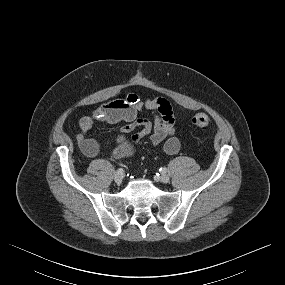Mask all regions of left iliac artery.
Instances as JSON below:
<instances>
[{
    "label": "left iliac artery",
    "instance_id": "1",
    "mask_svg": "<svg viewBox=\"0 0 285 285\" xmlns=\"http://www.w3.org/2000/svg\"><path fill=\"white\" fill-rule=\"evenodd\" d=\"M168 170H167V168H165V167H162V168H160V172L163 174V173H166Z\"/></svg>",
    "mask_w": 285,
    "mask_h": 285
}]
</instances>
